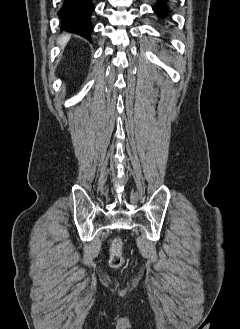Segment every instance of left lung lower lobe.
<instances>
[{
	"label": "left lung lower lobe",
	"mask_w": 240,
	"mask_h": 329,
	"mask_svg": "<svg viewBox=\"0 0 240 329\" xmlns=\"http://www.w3.org/2000/svg\"><path fill=\"white\" fill-rule=\"evenodd\" d=\"M163 1H167V0H158L156 6L153 7V10L156 12L158 16H160V18H164L169 12L168 7L164 5Z\"/></svg>",
	"instance_id": "1"
}]
</instances>
